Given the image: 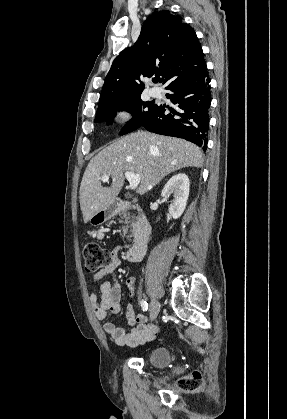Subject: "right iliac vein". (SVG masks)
Returning a JSON list of instances; mask_svg holds the SVG:
<instances>
[{"mask_svg":"<svg viewBox=\"0 0 287 419\" xmlns=\"http://www.w3.org/2000/svg\"><path fill=\"white\" fill-rule=\"evenodd\" d=\"M159 311H160V304L156 299L153 298L151 300V303H150V319H151V321H154L157 318V316L159 314Z\"/></svg>","mask_w":287,"mask_h":419,"instance_id":"1","label":"right iliac vein"}]
</instances>
